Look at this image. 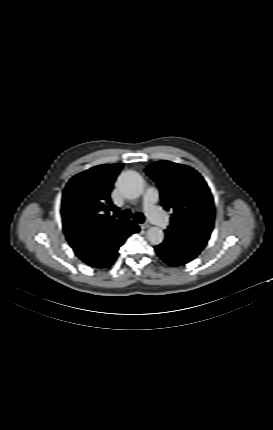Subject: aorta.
<instances>
[{
	"label": "aorta",
	"instance_id": "obj_1",
	"mask_svg": "<svg viewBox=\"0 0 273 430\" xmlns=\"http://www.w3.org/2000/svg\"><path fill=\"white\" fill-rule=\"evenodd\" d=\"M117 186L121 193L129 199L138 198L144 189V181L136 171H125L117 180ZM147 239L153 245H159L164 240V232L159 227H151L147 231Z\"/></svg>",
	"mask_w": 273,
	"mask_h": 430
}]
</instances>
